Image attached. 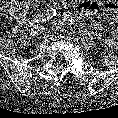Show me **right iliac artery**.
I'll list each match as a JSON object with an SVG mask.
<instances>
[{"label": "right iliac artery", "mask_w": 118, "mask_h": 118, "mask_svg": "<svg viewBox=\"0 0 118 118\" xmlns=\"http://www.w3.org/2000/svg\"><path fill=\"white\" fill-rule=\"evenodd\" d=\"M56 16V11L54 9H48L44 15H41L37 22H44Z\"/></svg>", "instance_id": "82829eb1"}]
</instances>
